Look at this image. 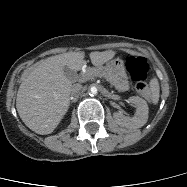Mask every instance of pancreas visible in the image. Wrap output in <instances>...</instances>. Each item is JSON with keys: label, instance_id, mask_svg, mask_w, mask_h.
<instances>
[{"label": "pancreas", "instance_id": "pancreas-1", "mask_svg": "<svg viewBox=\"0 0 187 187\" xmlns=\"http://www.w3.org/2000/svg\"><path fill=\"white\" fill-rule=\"evenodd\" d=\"M95 77H103L107 81L111 82L118 91L126 89V86L122 85L120 80H116L107 69L103 67L90 68L85 74H82V81L92 80Z\"/></svg>", "mask_w": 187, "mask_h": 187}]
</instances>
